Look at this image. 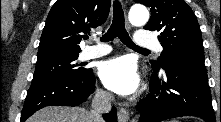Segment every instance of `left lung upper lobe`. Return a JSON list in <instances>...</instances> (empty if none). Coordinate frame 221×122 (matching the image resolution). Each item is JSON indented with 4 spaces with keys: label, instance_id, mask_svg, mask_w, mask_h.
<instances>
[{
    "label": "left lung upper lobe",
    "instance_id": "obj_1",
    "mask_svg": "<svg viewBox=\"0 0 221 122\" xmlns=\"http://www.w3.org/2000/svg\"><path fill=\"white\" fill-rule=\"evenodd\" d=\"M151 8V17L144 29L159 31L163 51L158 64L151 61L152 69L159 70L171 62L191 61L204 64V48L200 26L192 9L184 0H134Z\"/></svg>",
    "mask_w": 221,
    "mask_h": 122
}]
</instances>
